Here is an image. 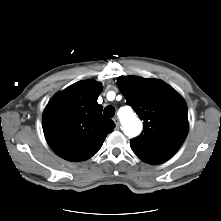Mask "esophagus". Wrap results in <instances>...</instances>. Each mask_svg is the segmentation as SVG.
Wrapping results in <instances>:
<instances>
[{"mask_svg": "<svg viewBox=\"0 0 221 221\" xmlns=\"http://www.w3.org/2000/svg\"><path fill=\"white\" fill-rule=\"evenodd\" d=\"M113 121L115 123L116 128L118 129L120 127L119 119L118 118H114Z\"/></svg>", "mask_w": 221, "mask_h": 221, "instance_id": "obj_1", "label": "esophagus"}]
</instances>
